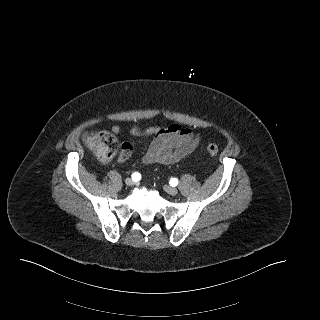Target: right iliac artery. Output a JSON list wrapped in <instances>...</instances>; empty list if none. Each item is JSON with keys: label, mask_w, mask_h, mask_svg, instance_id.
Returning <instances> with one entry per match:
<instances>
[{"label": "right iliac artery", "mask_w": 320, "mask_h": 320, "mask_svg": "<svg viewBox=\"0 0 320 320\" xmlns=\"http://www.w3.org/2000/svg\"><path fill=\"white\" fill-rule=\"evenodd\" d=\"M132 180H134V181H138V180H140V174L138 173V172H135V173H133L132 174Z\"/></svg>", "instance_id": "obj_1"}]
</instances>
